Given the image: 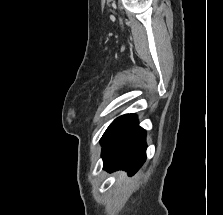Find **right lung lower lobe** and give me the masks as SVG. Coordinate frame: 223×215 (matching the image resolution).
Instances as JSON below:
<instances>
[{"label": "right lung lower lobe", "instance_id": "right-lung-lower-lobe-1", "mask_svg": "<svg viewBox=\"0 0 223 215\" xmlns=\"http://www.w3.org/2000/svg\"><path fill=\"white\" fill-rule=\"evenodd\" d=\"M146 131L135 114L128 115L102 143L103 168L135 174L146 160Z\"/></svg>", "mask_w": 223, "mask_h": 215}]
</instances>
